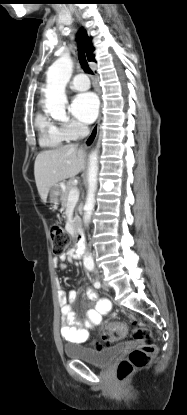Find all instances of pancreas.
Here are the masks:
<instances>
[{
    "mask_svg": "<svg viewBox=\"0 0 187 415\" xmlns=\"http://www.w3.org/2000/svg\"><path fill=\"white\" fill-rule=\"evenodd\" d=\"M73 188H74V185L72 184V182L68 181L66 183L65 189L63 191V196H62V201H61V205H62L63 208H67L69 193ZM78 219H79V217H78V214L76 212L75 213V218H74L75 225H77Z\"/></svg>",
    "mask_w": 187,
    "mask_h": 415,
    "instance_id": "pancreas-1",
    "label": "pancreas"
}]
</instances>
